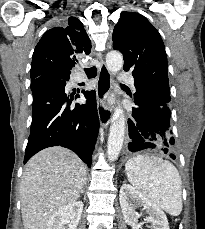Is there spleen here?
<instances>
[{"label": "spleen", "instance_id": "1", "mask_svg": "<svg viewBox=\"0 0 205 229\" xmlns=\"http://www.w3.org/2000/svg\"><path fill=\"white\" fill-rule=\"evenodd\" d=\"M129 182L172 216L182 211V182L176 167L161 158L138 155L125 165Z\"/></svg>", "mask_w": 205, "mask_h": 229}]
</instances>
